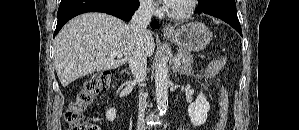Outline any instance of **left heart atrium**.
Segmentation results:
<instances>
[{
	"mask_svg": "<svg viewBox=\"0 0 299 130\" xmlns=\"http://www.w3.org/2000/svg\"><path fill=\"white\" fill-rule=\"evenodd\" d=\"M178 1L177 0H164V3L167 5V6H173L177 3Z\"/></svg>",
	"mask_w": 299,
	"mask_h": 130,
	"instance_id": "obj_1",
	"label": "left heart atrium"
}]
</instances>
